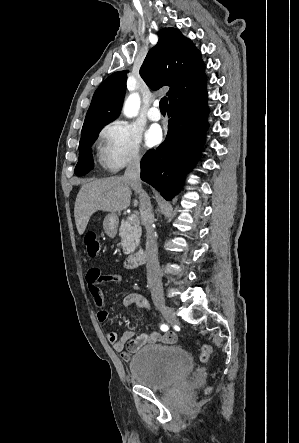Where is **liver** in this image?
Listing matches in <instances>:
<instances>
[{"label":"liver","instance_id":"6515ba94","mask_svg":"<svg viewBox=\"0 0 299 443\" xmlns=\"http://www.w3.org/2000/svg\"><path fill=\"white\" fill-rule=\"evenodd\" d=\"M131 185L122 176L94 179L86 182L79 190L74 207L78 233L82 235L90 217L97 211L121 212L131 203ZM138 201H133L136 207Z\"/></svg>","mask_w":299,"mask_h":443}]
</instances>
